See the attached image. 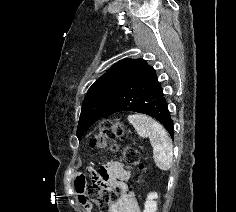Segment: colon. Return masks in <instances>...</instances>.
Masks as SVG:
<instances>
[{"mask_svg": "<svg viewBox=\"0 0 236 212\" xmlns=\"http://www.w3.org/2000/svg\"><path fill=\"white\" fill-rule=\"evenodd\" d=\"M123 135V129L119 123L112 120H104L100 124L99 134L91 140L90 147L101 148L106 139ZM122 157L128 166H138L141 171L145 170L144 164L140 163L139 152L134 147H125L122 151ZM107 186L102 181L100 174H96L90 182L84 185L86 197L95 203L101 212H111V203L115 202L117 198V190L109 192Z\"/></svg>", "mask_w": 236, "mask_h": 212, "instance_id": "5ec220e1", "label": "colon"}]
</instances>
